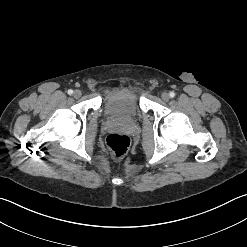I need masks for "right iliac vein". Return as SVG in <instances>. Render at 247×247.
<instances>
[{
    "mask_svg": "<svg viewBox=\"0 0 247 247\" xmlns=\"http://www.w3.org/2000/svg\"><path fill=\"white\" fill-rule=\"evenodd\" d=\"M81 95H82V92L80 90H75L73 93V96L75 98H79V97H81Z\"/></svg>",
    "mask_w": 247,
    "mask_h": 247,
    "instance_id": "1",
    "label": "right iliac vein"
}]
</instances>
